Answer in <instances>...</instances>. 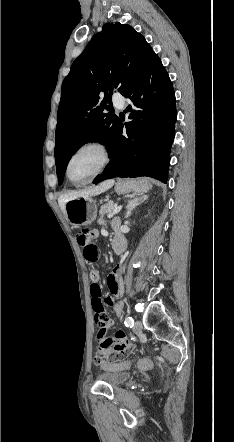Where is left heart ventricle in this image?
I'll use <instances>...</instances> for the list:
<instances>
[{"label":"left heart ventricle","mask_w":234,"mask_h":442,"mask_svg":"<svg viewBox=\"0 0 234 442\" xmlns=\"http://www.w3.org/2000/svg\"><path fill=\"white\" fill-rule=\"evenodd\" d=\"M102 161L101 153L94 148H88L77 153L70 163V176L76 182L89 178Z\"/></svg>","instance_id":"b2bd125f"}]
</instances>
